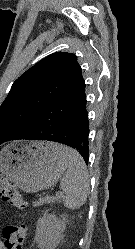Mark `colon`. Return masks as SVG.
Masks as SVG:
<instances>
[{"mask_svg": "<svg viewBox=\"0 0 135 249\" xmlns=\"http://www.w3.org/2000/svg\"><path fill=\"white\" fill-rule=\"evenodd\" d=\"M0 198L18 209L26 207L16 187L4 177H0ZM28 234L29 228L24 224L5 226L2 231L5 249H23Z\"/></svg>", "mask_w": 135, "mask_h": 249, "instance_id": "5ec220e1", "label": "colon"}]
</instances>
